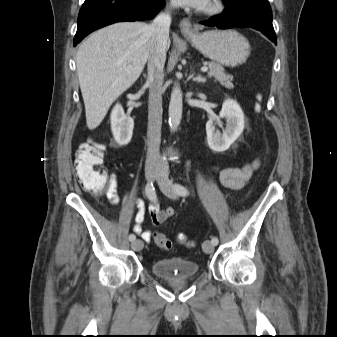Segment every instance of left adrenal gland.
<instances>
[{
	"label": "left adrenal gland",
	"mask_w": 337,
	"mask_h": 337,
	"mask_svg": "<svg viewBox=\"0 0 337 337\" xmlns=\"http://www.w3.org/2000/svg\"><path fill=\"white\" fill-rule=\"evenodd\" d=\"M194 74H192L191 77H193ZM193 81H196L198 83H205L206 82V78L204 77H201V76H197V77H193Z\"/></svg>",
	"instance_id": "left-adrenal-gland-1"
}]
</instances>
